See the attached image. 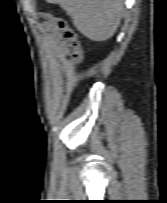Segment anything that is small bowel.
<instances>
[{"label":"small bowel","mask_w":167,"mask_h":203,"mask_svg":"<svg viewBox=\"0 0 167 203\" xmlns=\"http://www.w3.org/2000/svg\"><path fill=\"white\" fill-rule=\"evenodd\" d=\"M43 26H44L45 30H47L49 33L52 34L53 40H54L57 48L64 54H68L69 49H68L66 43L60 39L59 33H58L57 29L55 28V26L49 22H45L43 24Z\"/></svg>","instance_id":"small-bowel-1"}]
</instances>
